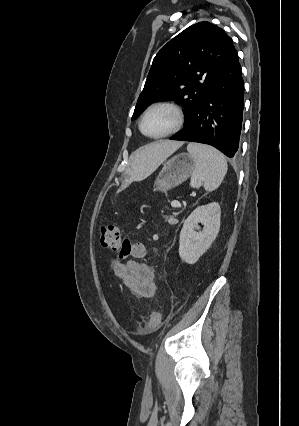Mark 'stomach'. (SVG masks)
<instances>
[{
	"instance_id": "1",
	"label": "stomach",
	"mask_w": 299,
	"mask_h": 426,
	"mask_svg": "<svg viewBox=\"0 0 299 426\" xmlns=\"http://www.w3.org/2000/svg\"><path fill=\"white\" fill-rule=\"evenodd\" d=\"M196 163L190 154L181 153L167 160L156 181L155 190L167 192L188 179L195 171Z\"/></svg>"
}]
</instances>
